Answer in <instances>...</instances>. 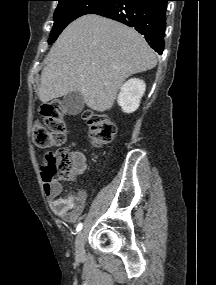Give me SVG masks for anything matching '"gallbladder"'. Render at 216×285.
<instances>
[{"instance_id":"gallbladder-1","label":"gallbladder","mask_w":216,"mask_h":285,"mask_svg":"<svg viewBox=\"0 0 216 285\" xmlns=\"http://www.w3.org/2000/svg\"><path fill=\"white\" fill-rule=\"evenodd\" d=\"M84 107V99L81 93L71 92L63 98V108L68 114L77 115Z\"/></svg>"}]
</instances>
